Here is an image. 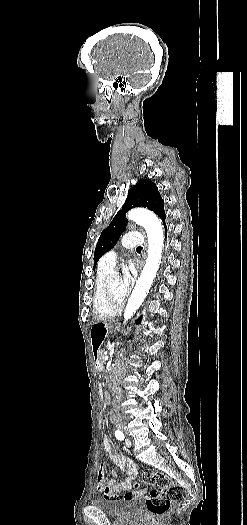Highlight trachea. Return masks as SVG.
<instances>
[{
	"mask_svg": "<svg viewBox=\"0 0 247 525\" xmlns=\"http://www.w3.org/2000/svg\"><path fill=\"white\" fill-rule=\"evenodd\" d=\"M137 249H142V247H137Z\"/></svg>",
	"mask_w": 247,
	"mask_h": 525,
	"instance_id": "1",
	"label": "trachea"
}]
</instances>
